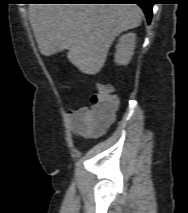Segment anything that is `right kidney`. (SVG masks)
<instances>
[{"instance_id":"right-kidney-1","label":"right kidney","mask_w":188,"mask_h":213,"mask_svg":"<svg viewBox=\"0 0 188 213\" xmlns=\"http://www.w3.org/2000/svg\"><path fill=\"white\" fill-rule=\"evenodd\" d=\"M136 34L127 33L119 38L116 45L115 62L118 65L129 64L135 49Z\"/></svg>"}]
</instances>
